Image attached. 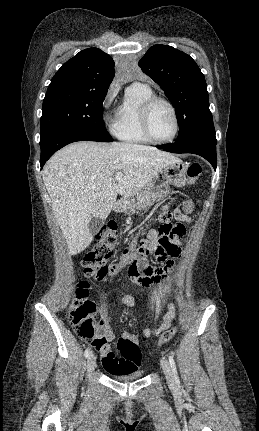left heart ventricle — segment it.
<instances>
[{
  "label": "left heart ventricle",
  "instance_id": "b2bd125f",
  "mask_svg": "<svg viewBox=\"0 0 259 431\" xmlns=\"http://www.w3.org/2000/svg\"><path fill=\"white\" fill-rule=\"evenodd\" d=\"M151 131L160 140L168 139L174 131V119L167 105L157 103L151 112Z\"/></svg>",
  "mask_w": 259,
  "mask_h": 431
}]
</instances>
